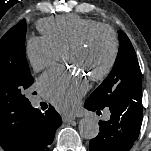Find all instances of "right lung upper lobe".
Returning <instances> with one entry per match:
<instances>
[{
	"label": "right lung upper lobe",
	"instance_id": "cb5924a9",
	"mask_svg": "<svg viewBox=\"0 0 151 151\" xmlns=\"http://www.w3.org/2000/svg\"><path fill=\"white\" fill-rule=\"evenodd\" d=\"M37 110L31 103L0 99V145L5 151H32L38 134Z\"/></svg>",
	"mask_w": 151,
	"mask_h": 151
}]
</instances>
